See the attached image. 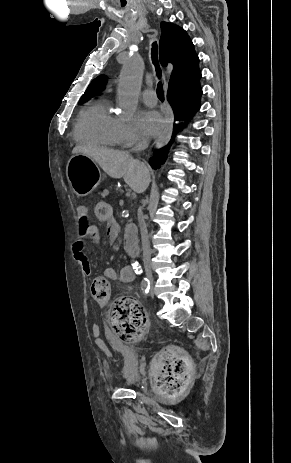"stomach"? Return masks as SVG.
<instances>
[{"instance_id": "obj_1", "label": "stomach", "mask_w": 291, "mask_h": 463, "mask_svg": "<svg viewBox=\"0 0 291 463\" xmlns=\"http://www.w3.org/2000/svg\"><path fill=\"white\" fill-rule=\"evenodd\" d=\"M66 174L72 190L78 196L88 195L97 185L98 166L90 157L74 154L68 161Z\"/></svg>"}]
</instances>
